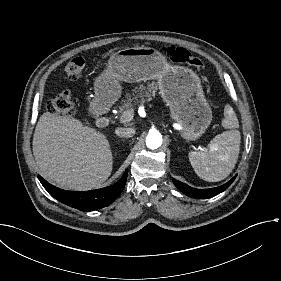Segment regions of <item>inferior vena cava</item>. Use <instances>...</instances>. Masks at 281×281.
Instances as JSON below:
<instances>
[{
  "mask_svg": "<svg viewBox=\"0 0 281 281\" xmlns=\"http://www.w3.org/2000/svg\"><path fill=\"white\" fill-rule=\"evenodd\" d=\"M132 135L130 130L123 129L119 131V136L120 137H130Z\"/></svg>",
  "mask_w": 281,
  "mask_h": 281,
  "instance_id": "1",
  "label": "inferior vena cava"
}]
</instances>
